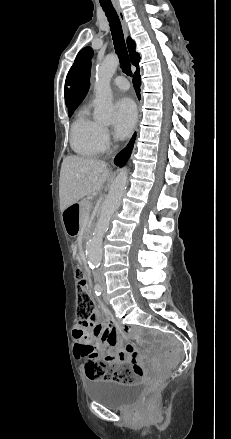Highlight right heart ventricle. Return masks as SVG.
<instances>
[{
    "label": "right heart ventricle",
    "instance_id": "1",
    "mask_svg": "<svg viewBox=\"0 0 231 439\" xmlns=\"http://www.w3.org/2000/svg\"><path fill=\"white\" fill-rule=\"evenodd\" d=\"M100 124L94 120L86 107H81L72 123L70 145L82 157H94L103 150L98 139Z\"/></svg>",
    "mask_w": 231,
    "mask_h": 439
}]
</instances>
